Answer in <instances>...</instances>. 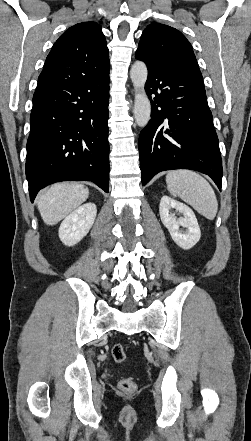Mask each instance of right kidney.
<instances>
[{
	"label": "right kidney",
	"mask_w": 251,
	"mask_h": 441,
	"mask_svg": "<svg viewBox=\"0 0 251 441\" xmlns=\"http://www.w3.org/2000/svg\"><path fill=\"white\" fill-rule=\"evenodd\" d=\"M97 214L96 205L86 203L71 212L59 227V238L66 246L76 245L87 235Z\"/></svg>",
	"instance_id": "1"
}]
</instances>
